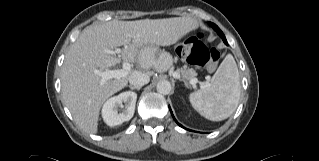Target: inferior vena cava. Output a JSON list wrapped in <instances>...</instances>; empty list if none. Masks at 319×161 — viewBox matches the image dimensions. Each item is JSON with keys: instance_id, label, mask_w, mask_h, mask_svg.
Wrapping results in <instances>:
<instances>
[{"instance_id": "inferior-vena-cava-1", "label": "inferior vena cava", "mask_w": 319, "mask_h": 161, "mask_svg": "<svg viewBox=\"0 0 319 161\" xmlns=\"http://www.w3.org/2000/svg\"><path fill=\"white\" fill-rule=\"evenodd\" d=\"M150 77L146 73L140 71L133 72L129 77V83L131 86L142 87L149 83Z\"/></svg>"}]
</instances>
